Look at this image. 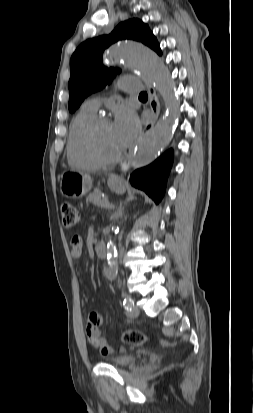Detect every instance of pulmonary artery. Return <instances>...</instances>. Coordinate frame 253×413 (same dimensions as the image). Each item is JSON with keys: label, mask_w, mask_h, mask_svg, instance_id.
Returning a JSON list of instances; mask_svg holds the SVG:
<instances>
[{"label": "pulmonary artery", "mask_w": 253, "mask_h": 413, "mask_svg": "<svg viewBox=\"0 0 253 413\" xmlns=\"http://www.w3.org/2000/svg\"><path fill=\"white\" fill-rule=\"evenodd\" d=\"M122 89L128 92H138L142 87L139 83L134 85L126 83L122 86ZM83 107L96 113L99 108V100L97 98L89 99L84 102Z\"/></svg>", "instance_id": "1"}]
</instances>
